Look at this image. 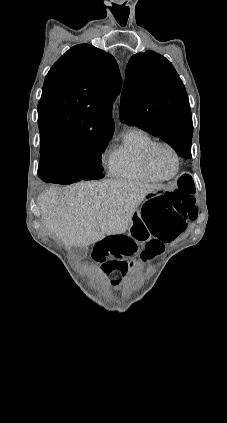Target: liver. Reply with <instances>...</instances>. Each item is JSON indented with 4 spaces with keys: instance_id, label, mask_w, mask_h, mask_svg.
<instances>
[{
    "instance_id": "obj_1",
    "label": "liver",
    "mask_w": 227,
    "mask_h": 423,
    "mask_svg": "<svg viewBox=\"0 0 227 423\" xmlns=\"http://www.w3.org/2000/svg\"><path fill=\"white\" fill-rule=\"evenodd\" d=\"M160 184L125 180L79 182L64 192L46 190L38 202L41 221L66 247H87L105 235L124 233L147 194Z\"/></svg>"
}]
</instances>
